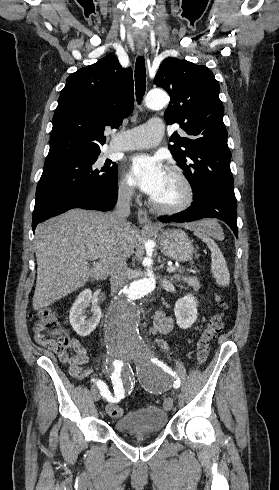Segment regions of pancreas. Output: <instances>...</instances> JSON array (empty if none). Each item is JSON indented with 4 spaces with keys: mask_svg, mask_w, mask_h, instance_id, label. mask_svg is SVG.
Listing matches in <instances>:
<instances>
[{
    "mask_svg": "<svg viewBox=\"0 0 279 490\" xmlns=\"http://www.w3.org/2000/svg\"><path fill=\"white\" fill-rule=\"evenodd\" d=\"M178 270H179V274H175V278H179V280H183V282H187L189 286H194V288H200L197 278H192V276H188V278H186V276H180V274H184L186 270H180V268H178Z\"/></svg>",
    "mask_w": 279,
    "mask_h": 490,
    "instance_id": "obj_1",
    "label": "pancreas"
}]
</instances>
